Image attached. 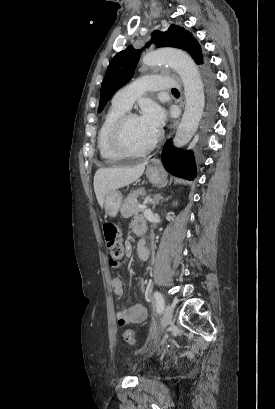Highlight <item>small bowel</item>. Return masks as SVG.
<instances>
[{
    "instance_id": "1",
    "label": "small bowel",
    "mask_w": 275,
    "mask_h": 409,
    "mask_svg": "<svg viewBox=\"0 0 275 409\" xmlns=\"http://www.w3.org/2000/svg\"><path fill=\"white\" fill-rule=\"evenodd\" d=\"M139 220V222L143 219H135L133 221V228L135 225V222ZM126 254L127 256H129L131 254V249L129 247L126 248ZM139 257L141 260L146 261L149 257V252L147 250V248H145V254L141 255L139 253ZM110 262L114 261L113 257L109 258ZM111 269L115 268L114 264L110 265ZM139 289L140 290H144L145 289V281H140L139 284ZM112 288H113V292L116 296H122L124 293V285L121 279L119 278H114L112 280ZM147 317V310L146 308L141 305V304H136L130 307H127L125 309H121L119 310L118 314H117V318H118V322L120 325H126L129 323H140L142 321H144Z\"/></svg>"
}]
</instances>
